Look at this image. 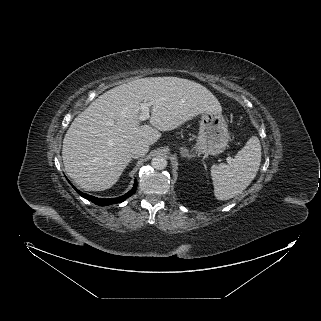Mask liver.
Here are the masks:
<instances>
[{"instance_id": "6515ba94", "label": "liver", "mask_w": 321, "mask_h": 321, "mask_svg": "<svg viewBox=\"0 0 321 321\" xmlns=\"http://www.w3.org/2000/svg\"><path fill=\"white\" fill-rule=\"evenodd\" d=\"M152 102L150 124L140 125L141 102ZM221 112L217 98L204 86L178 77H148L119 85L100 95L72 122L63 140L67 174L84 190L113 186L136 143L152 145L193 117Z\"/></svg>"}]
</instances>
